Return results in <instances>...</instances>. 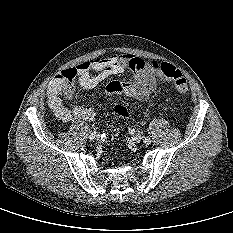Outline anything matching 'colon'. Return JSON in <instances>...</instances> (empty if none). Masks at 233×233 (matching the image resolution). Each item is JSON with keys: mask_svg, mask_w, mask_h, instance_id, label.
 Masks as SVG:
<instances>
[{"mask_svg": "<svg viewBox=\"0 0 233 233\" xmlns=\"http://www.w3.org/2000/svg\"><path fill=\"white\" fill-rule=\"evenodd\" d=\"M159 77L164 80L173 82L175 89L180 94H185L188 91L187 80L183 77L182 73L169 63H162L157 66ZM73 94V76L67 77L61 84V95L71 97ZM117 114L124 118L129 117L127 109L117 104L114 107Z\"/></svg>", "mask_w": 233, "mask_h": 233, "instance_id": "5ec220e1", "label": "colon"}]
</instances>
